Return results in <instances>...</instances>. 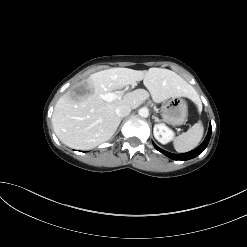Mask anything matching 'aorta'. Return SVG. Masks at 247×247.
<instances>
[{
	"mask_svg": "<svg viewBox=\"0 0 247 247\" xmlns=\"http://www.w3.org/2000/svg\"><path fill=\"white\" fill-rule=\"evenodd\" d=\"M138 114L143 118H147L149 115V110L147 108L143 107V108L139 109Z\"/></svg>",
	"mask_w": 247,
	"mask_h": 247,
	"instance_id": "aorta-1",
	"label": "aorta"
}]
</instances>
